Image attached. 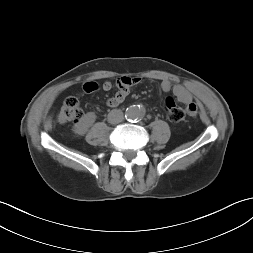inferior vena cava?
<instances>
[{
  "instance_id": "1",
  "label": "inferior vena cava",
  "mask_w": 253,
  "mask_h": 253,
  "mask_svg": "<svg viewBox=\"0 0 253 253\" xmlns=\"http://www.w3.org/2000/svg\"><path fill=\"white\" fill-rule=\"evenodd\" d=\"M124 119L123 112L119 109H113L109 114H108V121L111 124H118L122 122Z\"/></svg>"
}]
</instances>
